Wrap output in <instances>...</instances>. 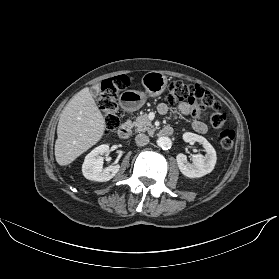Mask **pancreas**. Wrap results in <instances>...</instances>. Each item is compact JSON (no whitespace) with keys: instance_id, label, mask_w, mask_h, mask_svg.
<instances>
[{"instance_id":"pancreas-1","label":"pancreas","mask_w":279,"mask_h":279,"mask_svg":"<svg viewBox=\"0 0 279 279\" xmlns=\"http://www.w3.org/2000/svg\"><path fill=\"white\" fill-rule=\"evenodd\" d=\"M131 125L134 126L135 130L138 132L147 131L149 134H152L155 131L151 121H149L147 115L143 112H141L140 115L136 117L135 121Z\"/></svg>"}]
</instances>
